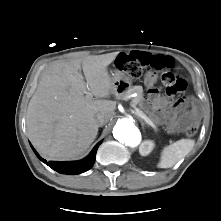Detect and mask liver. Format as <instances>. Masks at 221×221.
Returning a JSON list of instances; mask_svg holds the SVG:
<instances>
[{"label":"liver","mask_w":221,"mask_h":221,"mask_svg":"<svg viewBox=\"0 0 221 221\" xmlns=\"http://www.w3.org/2000/svg\"><path fill=\"white\" fill-rule=\"evenodd\" d=\"M118 52L52 62L43 71L27 109L28 135L50 160H71L85 152L98 134L96 115L112 119L114 93L107 67ZM84 72L86 82L81 73ZM91 96L100 98L93 100Z\"/></svg>","instance_id":"6515ba94"}]
</instances>
